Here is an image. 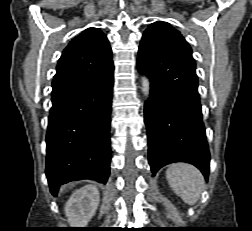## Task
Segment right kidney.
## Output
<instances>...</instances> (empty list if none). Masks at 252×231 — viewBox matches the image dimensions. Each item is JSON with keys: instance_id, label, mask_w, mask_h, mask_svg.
Masks as SVG:
<instances>
[{"instance_id": "ca27d5eb", "label": "right kidney", "mask_w": 252, "mask_h": 231, "mask_svg": "<svg viewBox=\"0 0 252 231\" xmlns=\"http://www.w3.org/2000/svg\"><path fill=\"white\" fill-rule=\"evenodd\" d=\"M99 191L95 185L76 190L65 205V214L72 227L83 228L95 215L99 205Z\"/></svg>"}]
</instances>
